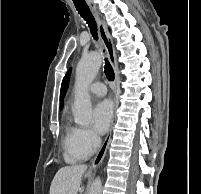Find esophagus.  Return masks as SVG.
<instances>
[{
	"instance_id": "esophagus-1",
	"label": "esophagus",
	"mask_w": 201,
	"mask_h": 194,
	"mask_svg": "<svg viewBox=\"0 0 201 194\" xmlns=\"http://www.w3.org/2000/svg\"><path fill=\"white\" fill-rule=\"evenodd\" d=\"M91 9L93 10V12L95 13L97 22H98V28H99V35H100V40L101 43L103 45V47L105 48L107 55H108V59L115 71V89H114V93H115V109L118 106V93H119V83H120V74L118 71V63H117V56H116V51H115V47L113 44V41L109 35L108 29H107V25L105 20L101 17V15L99 14L97 7L93 4V3H89ZM113 124H114V118L111 124V127L109 129V132L99 150V152L97 153V155L95 156V158L92 161L91 167L92 168H96L97 166H99L108 149L110 140H111V134H112V128H113Z\"/></svg>"
}]
</instances>
